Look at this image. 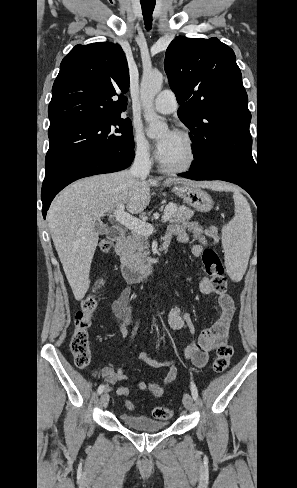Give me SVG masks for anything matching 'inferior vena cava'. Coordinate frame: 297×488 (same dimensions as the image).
<instances>
[{"label":"inferior vena cava","mask_w":297,"mask_h":488,"mask_svg":"<svg viewBox=\"0 0 297 488\" xmlns=\"http://www.w3.org/2000/svg\"><path fill=\"white\" fill-rule=\"evenodd\" d=\"M151 169L150 150L147 145L137 147L133 165L130 168V173L134 177H145L149 174Z\"/></svg>","instance_id":"1"}]
</instances>
